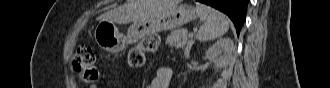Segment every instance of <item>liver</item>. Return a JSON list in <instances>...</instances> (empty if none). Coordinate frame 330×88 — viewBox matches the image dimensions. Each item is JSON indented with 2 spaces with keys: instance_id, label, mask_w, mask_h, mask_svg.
Listing matches in <instances>:
<instances>
[{
  "instance_id": "obj_1",
  "label": "liver",
  "mask_w": 330,
  "mask_h": 88,
  "mask_svg": "<svg viewBox=\"0 0 330 88\" xmlns=\"http://www.w3.org/2000/svg\"><path fill=\"white\" fill-rule=\"evenodd\" d=\"M176 1L177 0H132L126 2L121 7L105 13L101 19L119 23L137 22L146 19L161 5Z\"/></svg>"
}]
</instances>
